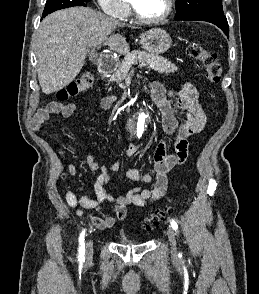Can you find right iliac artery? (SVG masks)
<instances>
[{
	"mask_svg": "<svg viewBox=\"0 0 259 294\" xmlns=\"http://www.w3.org/2000/svg\"><path fill=\"white\" fill-rule=\"evenodd\" d=\"M85 230L82 231V233L79 236V248H78V261L80 263H83L85 261Z\"/></svg>",
	"mask_w": 259,
	"mask_h": 294,
	"instance_id": "1",
	"label": "right iliac artery"
}]
</instances>
